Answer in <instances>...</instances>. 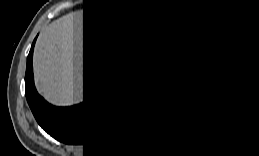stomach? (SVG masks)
I'll return each mask as SVG.
<instances>
[{"label":"stomach","instance_id":"obj_1","mask_svg":"<svg viewBox=\"0 0 259 156\" xmlns=\"http://www.w3.org/2000/svg\"><path fill=\"white\" fill-rule=\"evenodd\" d=\"M174 77L180 78L183 76V70L180 67L171 65L169 68Z\"/></svg>","mask_w":259,"mask_h":156}]
</instances>
